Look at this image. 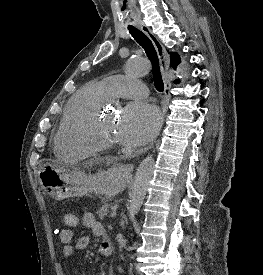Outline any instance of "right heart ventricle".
Segmentation results:
<instances>
[{
	"label": "right heart ventricle",
	"mask_w": 263,
	"mask_h": 275,
	"mask_svg": "<svg viewBox=\"0 0 263 275\" xmlns=\"http://www.w3.org/2000/svg\"><path fill=\"white\" fill-rule=\"evenodd\" d=\"M109 100L100 83L92 82L81 88L67 103L55 136L58 154L70 159H82L94 154L81 146L75 132L84 120Z\"/></svg>",
	"instance_id": "e07e8e85"
}]
</instances>
